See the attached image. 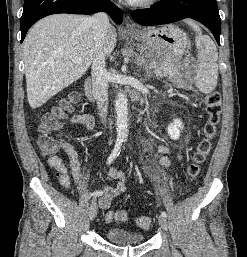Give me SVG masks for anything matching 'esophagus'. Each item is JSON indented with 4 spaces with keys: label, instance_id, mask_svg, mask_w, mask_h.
I'll return each instance as SVG.
<instances>
[{
    "label": "esophagus",
    "instance_id": "1",
    "mask_svg": "<svg viewBox=\"0 0 247 257\" xmlns=\"http://www.w3.org/2000/svg\"><path fill=\"white\" fill-rule=\"evenodd\" d=\"M125 31H127V32H135V31H137V28L135 26H133L131 23L126 22L125 23Z\"/></svg>",
    "mask_w": 247,
    "mask_h": 257
}]
</instances>
